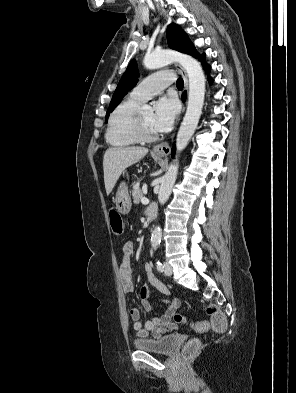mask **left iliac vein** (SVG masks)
Listing matches in <instances>:
<instances>
[{"label": "left iliac vein", "instance_id": "4c4485c4", "mask_svg": "<svg viewBox=\"0 0 296 393\" xmlns=\"http://www.w3.org/2000/svg\"><path fill=\"white\" fill-rule=\"evenodd\" d=\"M164 273L167 276H171L173 273L171 265L167 262L164 263Z\"/></svg>", "mask_w": 296, "mask_h": 393}]
</instances>
